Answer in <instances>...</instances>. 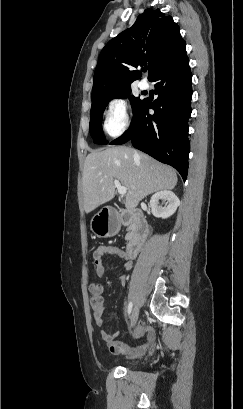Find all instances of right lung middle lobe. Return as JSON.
Listing matches in <instances>:
<instances>
[{
	"mask_svg": "<svg viewBox=\"0 0 243 409\" xmlns=\"http://www.w3.org/2000/svg\"><path fill=\"white\" fill-rule=\"evenodd\" d=\"M131 93V87L118 91L116 93H113L111 95H108L106 97H103L99 100L92 101V106H91V115H90V134L92 138L94 139V143L96 144H107V141L105 139V136L102 132V115L105 110V107L108 103L109 100L113 98H126L129 97L134 111L137 109L139 104L142 102L139 98H136L134 96H130Z\"/></svg>",
	"mask_w": 243,
	"mask_h": 409,
	"instance_id": "right-lung-middle-lobe-1",
	"label": "right lung middle lobe"
}]
</instances>
